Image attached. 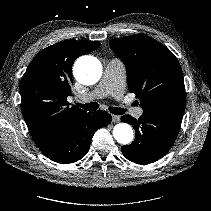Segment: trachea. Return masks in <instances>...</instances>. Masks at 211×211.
Here are the masks:
<instances>
[{"mask_svg": "<svg viewBox=\"0 0 211 211\" xmlns=\"http://www.w3.org/2000/svg\"><path fill=\"white\" fill-rule=\"evenodd\" d=\"M78 107L83 108L86 111H95L98 109L99 105L96 102H91V103H86V104H76ZM109 111L114 114V115H121L123 114L126 110L122 108H115V107H109Z\"/></svg>", "mask_w": 211, "mask_h": 211, "instance_id": "3493384b", "label": "trachea"}]
</instances>
